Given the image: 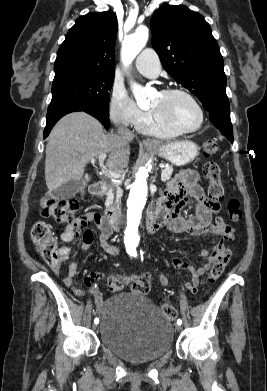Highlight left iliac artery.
I'll use <instances>...</instances> for the list:
<instances>
[{
    "label": "left iliac artery",
    "mask_w": 267,
    "mask_h": 391,
    "mask_svg": "<svg viewBox=\"0 0 267 391\" xmlns=\"http://www.w3.org/2000/svg\"><path fill=\"white\" fill-rule=\"evenodd\" d=\"M177 324H179V325H181V324H182V321H181V319H178V320H177Z\"/></svg>",
    "instance_id": "left-iliac-artery-1"
}]
</instances>
